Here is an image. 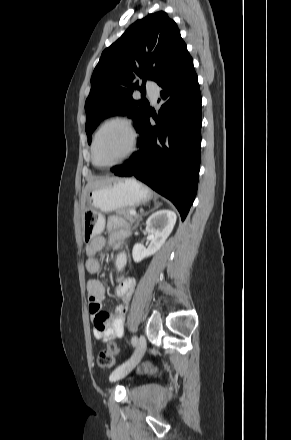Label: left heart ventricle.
I'll return each instance as SVG.
<instances>
[{
	"mask_svg": "<svg viewBox=\"0 0 291 440\" xmlns=\"http://www.w3.org/2000/svg\"><path fill=\"white\" fill-rule=\"evenodd\" d=\"M129 147V135L120 125L104 129L96 143L95 160L98 164H107L121 159Z\"/></svg>",
	"mask_w": 291,
	"mask_h": 440,
	"instance_id": "1",
	"label": "left heart ventricle"
}]
</instances>
